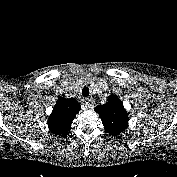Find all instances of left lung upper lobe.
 I'll return each mask as SVG.
<instances>
[{
	"label": "left lung upper lobe",
	"instance_id": "5c2ea615",
	"mask_svg": "<svg viewBox=\"0 0 177 177\" xmlns=\"http://www.w3.org/2000/svg\"><path fill=\"white\" fill-rule=\"evenodd\" d=\"M99 114L104 128L110 135L116 136L128 127V113L124 109L122 101L116 96L111 95L108 102L95 108Z\"/></svg>",
	"mask_w": 177,
	"mask_h": 177
}]
</instances>
